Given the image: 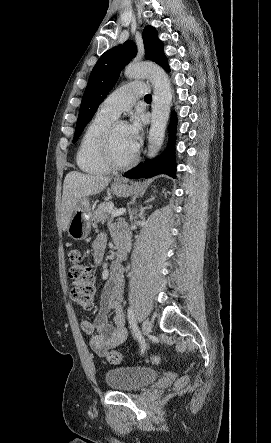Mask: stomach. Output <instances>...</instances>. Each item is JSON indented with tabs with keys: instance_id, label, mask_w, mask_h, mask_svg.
Masks as SVG:
<instances>
[{
	"instance_id": "obj_1",
	"label": "stomach",
	"mask_w": 271,
	"mask_h": 443,
	"mask_svg": "<svg viewBox=\"0 0 271 443\" xmlns=\"http://www.w3.org/2000/svg\"><path fill=\"white\" fill-rule=\"evenodd\" d=\"M113 194L118 198H128L134 192L133 186H128L127 182L116 180L111 188ZM92 208L88 198H81L75 208L70 222L67 225L68 235L73 239H85L90 233Z\"/></svg>"
}]
</instances>
